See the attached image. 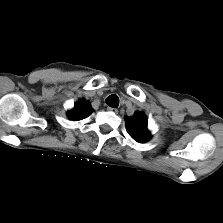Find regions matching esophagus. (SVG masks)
Here are the masks:
<instances>
[{"label": "esophagus", "instance_id": "1", "mask_svg": "<svg viewBox=\"0 0 223 223\" xmlns=\"http://www.w3.org/2000/svg\"><path fill=\"white\" fill-rule=\"evenodd\" d=\"M107 111L113 113V114H118V110L116 108L108 107Z\"/></svg>", "mask_w": 223, "mask_h": 223}]
</instances>
